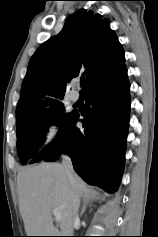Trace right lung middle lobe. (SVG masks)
Masks as SVG:
<instances>
[{
    "label": "right lung middle lobe",
    "mask_w": 158,
    "mask_h": 237,
    "mask_svg": "<svg viewBox=\"0 0 158 237\" xmlns=\"http://www.w3.org/2000/svg\"><path fill=\"white\" fill-rule=\"evenodd\" d=\"M72 114L73 112L65 113L63 102L60 100L52 102L35 115L17 118V148L21 163L25 164L37 154L39 146L45 140L44 125L56 123L62 126Z\"/></svg>",
    "instance_id": "right-lung-middle-lobe-1"
}]
</instances>
